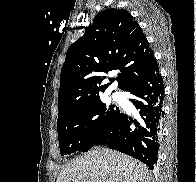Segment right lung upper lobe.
<instances>
[{"mask_svg":"<svg viewBox=\"0 0 196 182\" xmlns=\"http://www.w3.org/2000/svg\"><path fill=\"white\" fill-rule=\"evenodd\" d=\"M93 22L67 50L61 69L59 114L100 97L113 82L105 83V73L119 69L118 87L125 90L155 59L142 29L126 10L106 9Z\"/></svg>","mask_w":196,"mask_h":182,"instance_id":"cb5924a9","label":"right lung upper lobe"}]
</instances>
